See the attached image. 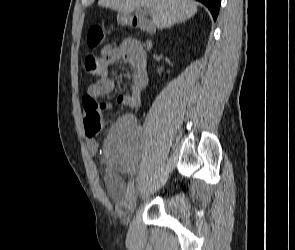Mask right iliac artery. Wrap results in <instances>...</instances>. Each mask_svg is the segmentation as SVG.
<instances>
[{
    "label": "right iliac artery",
    "instance_id": "1",
    "mask_svg": "<svg viewBox=\"0 0 295 250\" xmlns=\"http://www.w3.org/2000/svg\"><path fill=\"white\" fill-rule=\"evenodd\" d=\"M134 190V182L130 183L127 188V197L132 193Z\"/></svg>",
    "mask_w": 295,
    "mask_h": 250
}]
</instances>
